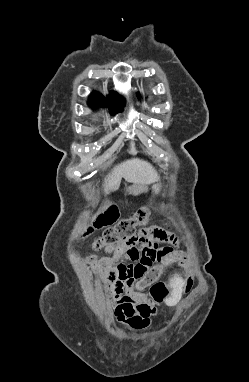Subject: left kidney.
<instances>
[{"label":"left kidney","instance_id":"1","mask_svg":"<svg viewBox=\"0 0 249 382\" xmlns=\"http://www.w3.org/2000/svg\"><path fill=\"white\" fill-rule=\"evenodd\" d=\"M171 278L164 279L167 282L168 294L162 299V304L166 309H173L179 301L185 298L186 293L184 287L186 286L187 277L183 276L180 272L171 273Z\"/></svg>","mask_w":249,"mask_h":382}]
</instances>
